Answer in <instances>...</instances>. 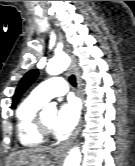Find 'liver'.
I'll use <instances>...</instances> for the list:
<instances>
[{
    "instance_id": "6515ba94",
    "label": "liver",
    "mask_w": 135,
    "mask_h": 166,
    "mask_svg": "<svg viewBox=\"0 0 135 166\" xmlns=\"http://www.w3.org/2000/svg\"><path fill=\"white\" fill-rule=\"evenodd\" d=\"M48 150L49 148H46V147L24 149V150L12 153L9 156L8 160H10L14 155H20L22 157L23 165H28L30 161H32L34 164H40L41 166H44L48 164V161H46L47 157L45 155V153L48 152Z\"/></svg>"
}]
</instances>
